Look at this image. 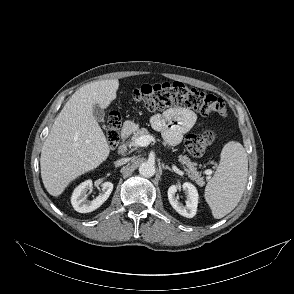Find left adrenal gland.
<instances>
[{
    "label": "left adrenal gland",
    "instance_id": "1",
    "mask_svg": "<svg viewBox=\"0 0 294 294\" xmlns=\"http://www.w3.org/2000/svg\"><path fill=\"white\" fill-rule=\"evenodd\" d=\"M162 168L173 172V169H171L168 165H164L163 163H162Z\"/></svg>",
    "mask_w": 294,
    "mask_h": 294
}]
</instances>
